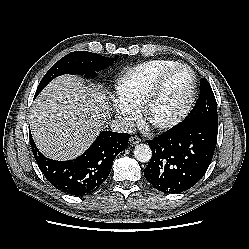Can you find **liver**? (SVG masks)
<instances>
[{"mask_svg":"<svg viewBox=\"0 0 249 249\" xmlns=\"http://www.w3.org/2000/svg\"><path fill=\"white\" fill-rule=\"evenodd\" d=\"M109 110L108 98L98 86L76 76H60L41 92L31 109L34 141L49 158L73 159L94 141Z\"/></svg>","mask_w":249,"mask_h":249,"instance_id":"6515ba94","label":"liver"}]
</instances>
